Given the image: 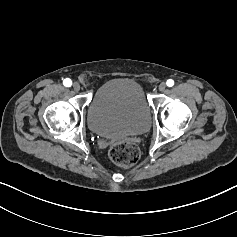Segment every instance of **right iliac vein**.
Returning <instances> with one entry per match:
<instances>
[{"instance_id":"obj_1","label":"right iliac vein","mask_w":237,"mask_h":237,"mask_svg":"<svg viewBox=\"0 0 237 237\" xmlns=\"http://www.w3.org/2000/svg\"><path fill=\"white\" fill-rule=\"evenodd\" d=\"M73 89H74V91H79L80 90V85H79V83H77V82H75L74 84H73Z\"/></svg>"}]
</instances>
